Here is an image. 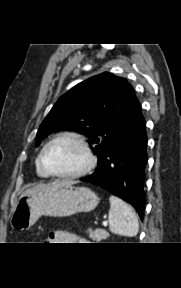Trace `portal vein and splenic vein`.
<instances>
[{"label": "portal vein and splenic vein", "mask_w": 181, "mask_h": 288, "mask_svg": "<svg viewBox=\"0 0 181 288\" xmlns=\"http://www.w3.org/2000/svg\"><path fill=\"white\" fill-rule=\"evenodd\" d=\"M103 226L106 227L107 226V222H103Z\"/></svg>", "instance_id": "obj_1"}]
</instances>
